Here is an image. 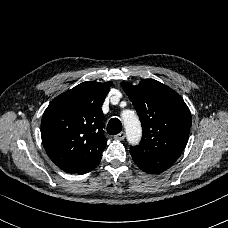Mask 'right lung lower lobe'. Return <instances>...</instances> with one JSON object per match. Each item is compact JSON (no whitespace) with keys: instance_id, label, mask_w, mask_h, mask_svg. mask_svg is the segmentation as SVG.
I'll return each mask as SVG.
<instances>
[{"instance_id":"1","label":"right lung lower lobe","mask_w":228,"mask_h":228,"mask_svg":"<svg viewBox=\"0 0 228 228\" xmlns=\"http://www.w3.org/2000/svg\"><path fill=\"white\" fill-rule=\"evenodd\" d=\"M100 160H101V159H100ZM100 160L97 161V162H95L94 164H92V165L89 166L88 168L84 169L83 171L78 172V174H85V173H87V172H90L91 170H93L94 168L97 167V165L99 164Z\"/></svg>"}]
</instances>
